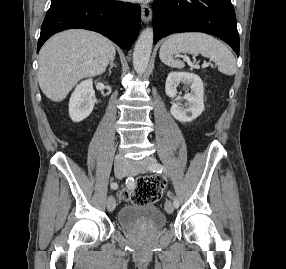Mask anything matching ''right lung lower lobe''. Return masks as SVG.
<instances>
[{
    "label": "right lung lower lobe",
    "instance_id": "obj_1",
    "mask_svg": "<svg viewBox=\"0 0 286 269\" xmlns=\"http://www.w3.org/2000/svg\"><path fill=\"white\" fill-rule=\"evenodd\" d=\"M140 11L137 4L115 0L53 1L41 27L37 52L50 36L70 28L96 31L129 49L140 29Z\"/></svg>",
    "mask_w": 286,
    "mask_h": 269
}]
</instances>
